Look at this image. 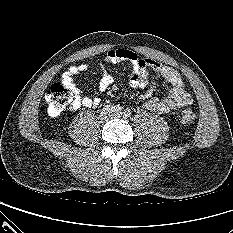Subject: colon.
Here are the masks:
<instances>
[{"mask_svg": "<svg viewBox=\"0 0 233 233\" xmlns=\"http://www.w3.org/2000/svg\"><path fill=\"white\" fill-rule=\"evenodd\" d=\"M73 100V92L61 83L53 84L45 95L48 112L52 116L61 114ZM179 118L183 124H189L194 120L195 112L191 106L186 105L181 109Z\"/></svg>", "mask_w": 233, "mask_h": 233, "instance_id": "1", "label": "colon"}]
</instances>
